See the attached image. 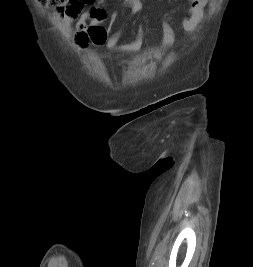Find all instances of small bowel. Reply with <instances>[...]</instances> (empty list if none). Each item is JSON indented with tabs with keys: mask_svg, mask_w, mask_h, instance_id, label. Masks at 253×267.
Here are the masks:
<instances>
[{
	"mask_svg": "<svg viewBox=\"0 0 253 267\" xmlns=\"http://www.w3.org/2000/svg\"><path fill=\"white\" fill-rule=\"evenodd\" d=\"M209 0H189L190 8L188 15L182 20L185 30H192L196 27L203 16L204 8ZM125 7L130 10V17L135 16L142 10L141 0H122ZM56 19L65 28L75 25L74 39L79 47H86L89 43L88 29L90 26L101 25L111 21V16L107 13L99 0H71L64 7H58L55 11ZM111 27V26H110ZM108 41L106 47L111 51L122 53H133L139 51L144 43V28L141 25L136 38L131 42H122L124 28H120L114 33H110L107 28ZM174 31L167 21L162 22L161 48H169L174 42Z\"/></svg>",
	"mask_w": 253,
	"mask_h": 267,
	"instance_id": "small-bowel-1",
	"label": "small bowel"
}]
</instances>
